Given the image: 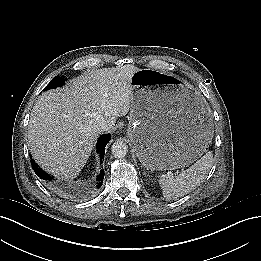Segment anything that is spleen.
Segmentation results:
<instances>
[{
    "label": "spleen",
    "mask_w": 261,
    "mask_h": 261,
    "mask_svg": "<svg viewBox=\"0 0 261 261\" xmlns=\"http://www.w3.org/2000/svg\"><path fill=\"white\" fill-rule=\"evenodd\" d=\"M212 166L213 156L211 152H208L178 176L174 177L171 174L160 176L159 184L163 196L167 199H177L195 190Z\"/></svg>",
    "instance_id": "3e777b00"
}]
</instances>
